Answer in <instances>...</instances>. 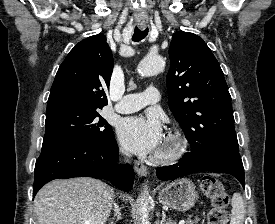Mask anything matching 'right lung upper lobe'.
I'll list each match as a JSON object with an SVG mask.
<instances>
[{
	"label": "right lung upper lobe",
	"mask_w": 275,
	"mask_h": 224,
	"mask_svg": "<svg viewBox=\"0 0 275 224\" xmlns=\"http://www.w3.org/2000/svg\"><path fill=\"white\" fill-rule=\"evenodd\" d=\"M113 56L103 34L79 42L59 67L46 113L65 108L100 110L107 105Z\"/></svg>",
	"instance_id": "1"
}]
</instances>
